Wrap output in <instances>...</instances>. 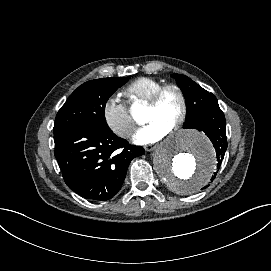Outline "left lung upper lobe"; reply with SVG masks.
<instances>
[{"label":"left lung upper lobe","instance_id":"obj_1","mask_svg":"<svg viewBox=\"0 0 271 271\" xmlns=\"http://www.w3.org/2000/svg\"><path fill=\"white\" fill-rule=\"evenodd\" d=\"M187 101L186 122L183 128H196L197 125L214 109L220 108L217 98L200 87L189 77L172 74Z\"/></svg>","mask_w":271,"mask_h":271}]
</instances>
